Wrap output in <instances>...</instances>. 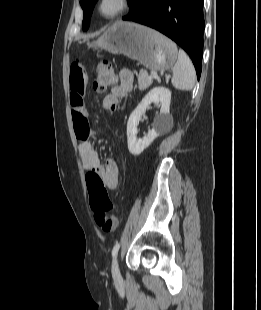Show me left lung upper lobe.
<instances>
[{
	"instance_id": "left-lung-upper-lobe-1",
	"label": "left lung upper lobe",
	"mask_w": 261,
	"mask_h": 310,
	"mask_svg": "<svg viewBox=\"0 0 261 310\" xmlns=\"http://www.w3.org/2000/svg\"><path fill=\"white\" fill-rule=\"evenodd\" d=\"M97 0H80V5L84 11L83 16V30H87L90 25V17ZM136 0H129V6L132 9Z\"/></svg>"
}]
</instances>
